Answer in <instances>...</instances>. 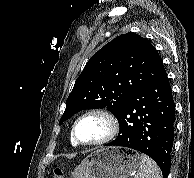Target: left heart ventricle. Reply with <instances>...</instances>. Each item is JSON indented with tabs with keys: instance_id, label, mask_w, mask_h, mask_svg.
Segmentation results:
<instances>
[{
	"instance_id": "1",
	"label": "left heart ventricle",
	"mask_w": 194,
	"mask_h": 178,
	"mask_svg": "<svg viewBox=\"0 0 194 178\" xmlns=\"http://www.w3.org/2000/svg\"><path fill=\"white\" fill-rule=\"evenodd\" d=\"M107 132L105 120L99 116L92 115L82 119L76 129L79 140L93 142L101 139Z\"/></svg>"
}]
</instances>
